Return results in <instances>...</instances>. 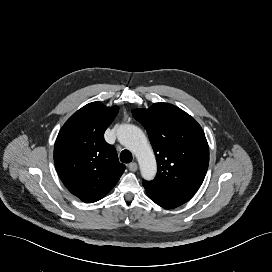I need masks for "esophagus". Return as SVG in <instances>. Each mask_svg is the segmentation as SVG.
Listing matches in <instances>:
<instances>
[{"instance_id":"34e87169","label":"esophagus","mask_w":272,"mask_h":272,"mask_svg":"<svg viewBox=\"0 0 272 272\" xmlns=\"http://www.w3.org/2000/svg\"><path fill=\"white\" fill-rule=\"evenodd\" d=\"M128 168H129L130 171L135 172L137 170V168H138V165H137L136 162H132V163H130L128 165Z\"/></svg>"}]
</instances>
